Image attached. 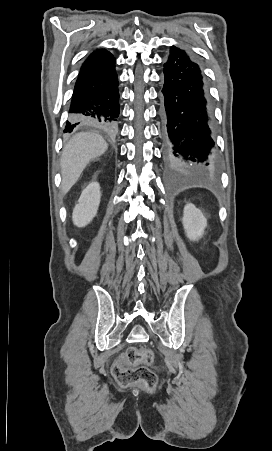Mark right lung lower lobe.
I'll return each mask as SVG.
<instances>
[{
	"label": "right lung lower lobe",
	"mask_w": 272,
	"mask_h": 451,
	"mask_svg": "<svg viewBox=\"0 0 272 451\" xmlns=\"http://www.w3.org/2000/svg\"><path fill=\"white\" fill-rule=\"evenodd\" d=\"M119 111L115 58L108 51L89 55L75 83L64 132L82 126L114 133L118 127Z\"/></svg>",
	"instance_id": "right-lung-lower-lobe-1"
}]
</instances>
